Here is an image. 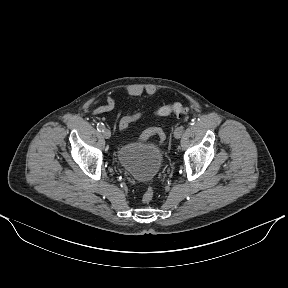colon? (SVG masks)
Returning <instances> with one entry per match:
<instances>
[{
	"instance_id": "5ec220e1",
	"label": "colon",
	"mask_w": 288,
	"mask_h": 288,
	"mask_svg": "<svg viewBox=\"0 0 288 288\" xmlns=\"http://www.w3.org/2000/svg\"><path fill=\"white\" fill-rule=\"evenodd\" d=\"M171 113L184 115L188 113V108L183 106L181 103H173L162 106L154 112L156 116H167ZM142 116H143L142 112H137L131 115L124 116L120 121V126L126 129L132 122L140 119ZM151 136H156L159 139L160 143H163L166 138L165 133L161 128L151 127L146 129L142 133L141 140H145ZM153 197H154V190L152 187H148L142 196V201L144 203H149L152 201Z\"/></svg>"
}]
</instances>
